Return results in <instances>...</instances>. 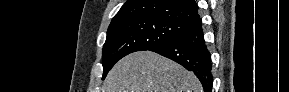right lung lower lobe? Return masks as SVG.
Wrapping results in <instances>:
<instances>
[{
	"instance_id": "right-lung-lower-lobe-1",
	"label": "right lung lower lobe",
	"mask_w": 289,
	"mask_h": 92,
	"mask_svg": "<svg viewBox=\"0 0 289 92\" xmlns=\"http://www.w3.org/2000/svg\"><path fill=\"white\" fill-rule=\"evenodd\" d=\"M150 51L167 57L194 72L204 91L211 92L213 83L211 57L205 45L200 18L191 23L182 35Z\"/></svg>"
}]
</instances>
